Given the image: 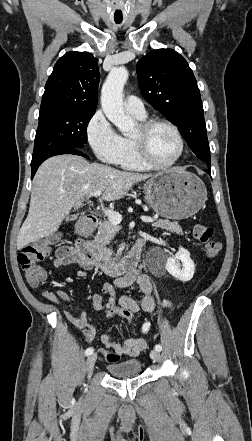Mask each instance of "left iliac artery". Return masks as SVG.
<instances>
[{"label":"left iliac artery","instance_id":"1","mask_svg":"<svg viewBox=\"0 0 252 441\" xmlns=\"http://www.w3.org/2000/svg\"><path fill=\"white\" fill-rule=\"evenodd\" d=\"M149 323L148 322H143L142 323V327H141V330L143 331V332H146L147 330H148V328H149ZM155 350H157V351H161L162 350V346L160 345V344H157V345H155Z\"/></svg>","mask_w":252,"mask_h":441}]
</instances>
